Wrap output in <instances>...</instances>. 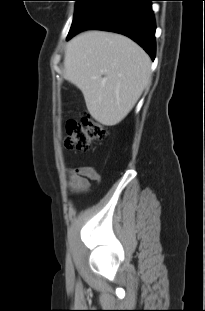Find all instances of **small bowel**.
<instances>
[{
    "instance_id": "obj_1",
    "label": "small bowel",
    "mask_w": 205,
    "mask_h": 311,
    "mask_svg": "<svg viewBox=\"0 0 205 311\" xmlns=\"http://www.w3.org/2000/svg\"><path fill=\"white\" fill-rule=\"evenodd\" d=\"M100 180L101 176L95 168L78 166L69 172L68 185L72 193L79 195L89 189L91 181L99 182Z\"/></svg>"
}]
</instances>
